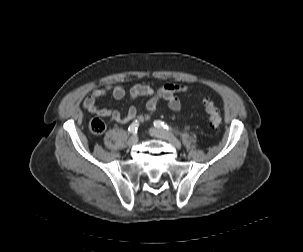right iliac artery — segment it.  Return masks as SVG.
I'll use <instances>...</instances> for the list:
<instances>
[{
  "label": "right iliac artery",
  "mask_w": 303,
  "mask_h": 252,
  "mask_svg": "<svg viewBox=\"0 0 303 252\" xmlns=\"http://www.w3.org/2000/svg\"><path fill=\"white\" fill-rule=\"evenodd\" d=\"M138 126L139 123L137 122L132 123L128 128L129 133H135L137 131Z\"/></svg>",
  "instance_id": "82829eb1"
}]
</instances>
